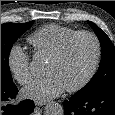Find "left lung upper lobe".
Listing matches in <instances>:
<instances>
[{
    "label": "left lung upper lobe",
    "mask_w": 115,
    "mask_h": 115,
    "mask_svg": "<svg viewBox=\"0 0 115 115\" xmlns=\"http://www.w3.org/2000/svg\"><path fill=\"white\" fill-rule=\"evenodd\" d=\"M87 22L99 38L102 56L96 74L81 90L74 94L79 97L106 89H115V47L103 30L95 23Z\"/></svg>",
    "instance_id": "5c2ea615"
}]
</instances>
